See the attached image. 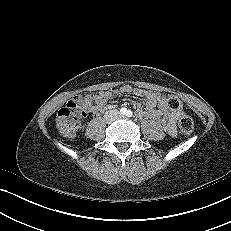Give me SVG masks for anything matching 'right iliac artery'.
I'll list each match as a JSON object with an SVG mask.
<instances>
[{"label":"right iliac artery","mask_w":231,"mask_h":231,"mask_svg":"<svg viewBox=\"0 0 231 231\" xmlns=\"http://www.w3.org/2000/svg\"><path fill=\"white\" fill-rule=\"evenodd\" d=\"M126 112H127L126 108H121L120 109V114L124 115V114H126Z\"/></svg>","instance_id":"obj_1"}]
</instances>
